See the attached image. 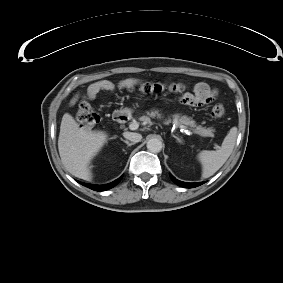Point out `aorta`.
<instances>
[{
	"instance_id": "762f6f07",
	"label": "aorta",
	"mask_w": 283,
	"mask_h": 283,
	"mask_svg": "<svg viewBox=\"0 0 283 283\" xmlns=\"http://www.w3.org/2000/svg\"><path fill=\"white\" fill-rule=\"evenodd\" d=\"M146 146L150 152L158 153L162 149V141L158 137H151L148 139Z\"/></svg>"
}]
</instances>
